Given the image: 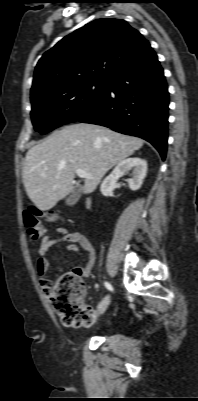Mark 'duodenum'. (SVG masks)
Masks as SVG:
<instances>
[{
    "instance_id": "obj_1",
    "label": "duodenum",
    "mask_w": 198,
    "mask_h": 401,
    "mask_svg": "<svg viewBox=\"0 0 198 401\" xmlns=\"http://www.w3.org/2000/svg\"><path fill=\"white\" fill-rule=\"evenodd\" d=\"M92 203H93L92 198L89 197V198L87 199V208L90 209V208L92 207Z\"/></svg>"
}]
</instances>
